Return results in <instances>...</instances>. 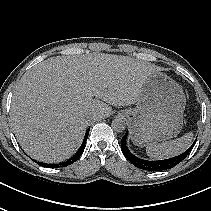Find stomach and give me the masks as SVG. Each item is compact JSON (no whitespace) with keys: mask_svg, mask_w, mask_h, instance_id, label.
Listing matches in <instances>:
<instances>
[{"mask_svg":"<svg viewBox=\"0 0 211 211\" xmlns=\"http://www.w3.org/2000/svg\"><path fill=\"white\" fill-rule=\"evenodd\" d=\"M185 106L182 87L156 71L145 82L135 108L122 110L120 114L129 125L133 143L150 146L180 133Z\"/></svg>","mask_w":211,"mask_h":211,"instance_id":"0dacf381","label":"stomach"}]
</instances>
